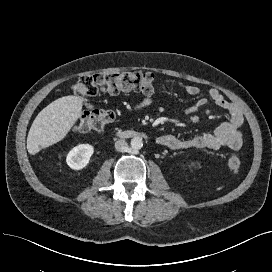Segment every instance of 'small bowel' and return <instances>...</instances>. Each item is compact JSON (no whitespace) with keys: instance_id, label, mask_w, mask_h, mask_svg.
I'll list each match as a JSON object with an SVG mask.
<instances>
[{"instance_id":"1","label":"small bowel","mask_w":272,"mask_h":272,"mask_svg":"<svg viewBox=\"0 0 272 272\" xmlns=\"http://www.w3.org/2000/svg\"><path fill=\"white\" fill-rule=\"evenodd\" d=\"M170 81L191 96H199L201 93L200 88L195 85L176 80ZM153 101L152 95H146L141 101L132 105L130 110L133 112L142 110L150 106ZM208 101L225 110L229 114V120L217 126L212 133L199 134L190 139H181L171 134L161 135L157 139L158 144L171 150L189 148L217 150L222 147L239 150L243 144L241 128L244 124V114L237 104L227 100L217 89H210L207 98H199L194 104L188 106L185 110L186 114L195 119L198 110Z\"/></svg>"}]
</instances>
